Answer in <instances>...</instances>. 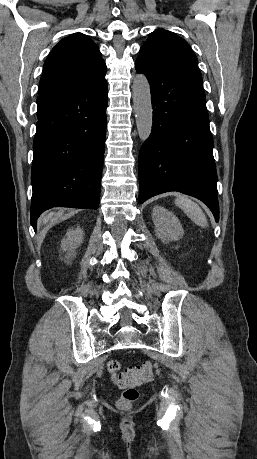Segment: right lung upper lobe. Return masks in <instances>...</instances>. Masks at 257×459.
<instances>
[{"instance_id":"obj_1","label":"right lung upper lobe","mask_w":257,"mask_h":459,"mask_svg":"<svg viewBox=\"0 0 257 459\" xmlns=\"http://www.w3.org/2000/svg\"><path fill=\"white\" fill-rule=\"evenodd\" d=\"M106 65L98 46L85 34L62 39L43 67L39 97L79 88L105 76Z\"/></svg>"}]
</instances>
